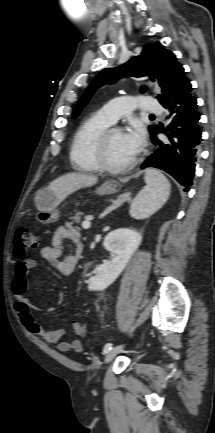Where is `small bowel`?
<instances>
[{"label":"small bowel","instance_id":"small-bowel-1","mask_svg":"<svg viewBox=\"0 0 215 433\" xmlns=\"http://www.w3.org/2000/svg\"><path fill=\"white\" fill-rule=\"evenodd\" d=\"M72 242L74 252L64 255V242ZM82 252L81 234L72 224L59 226L52 237L50 245H45L41 249L43 259L51 263L54 268L64 276L70 275L80 258ZM37 262L33 258H27L19 261L14 270V278L11 283V290L16 299L15 309L21 323L33 334L44 338L47 342L56 344L57 349L61 352L74 350L80 352L83 349L82 343L77 340H63L65 335L64 329L46 330L39 324L33 315L36 307L25 297L28 287L29 271L35 268Z\"/></svg>","mask_w":215,"mask_h":433}]
</instances>
